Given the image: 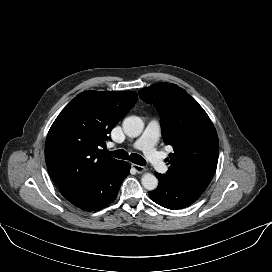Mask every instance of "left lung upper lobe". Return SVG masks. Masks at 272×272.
I'll list each match as a JSON object with an SVG mask.
<instances>
[{"mask_svg": "<svg viewBox=\"0 0 272 272\" xmlns=\"http://www.w3.org/2000/svg\"><path fill=\"white\" fill-rule=\"evenodd\" d=\"M139 96L159 112L164 142L174 149L165 175L206 188L216 171L219 141L204 109L173 83L143 88Z\"/></svg>", "mask_w": 272, "mask_h": 272, "instance_id": "left-lung-upper-lobe-1", "label": "left lung upper lobe"}]
</instances>
